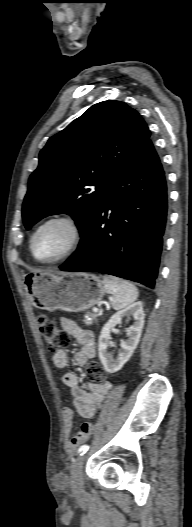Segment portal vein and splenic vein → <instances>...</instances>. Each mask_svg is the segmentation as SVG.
Masks as SVG:
<instances>
[{"mask_svg": "<svg viewBox=\"0 0 192 527\" xmlns=\"http://www.w3.org/2000/svg\"><path fill=\"white\" fill-rule=\"evenodd\" d=\"M93 312L97 313V312H98V309H97V308H94V309H93Z\"/></svg>", "mask_w": 192, "mask_h": 527, "instance_id": "obj_1", "label": "portal vein and splenic vein"}]
</instances>
